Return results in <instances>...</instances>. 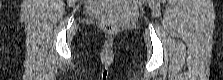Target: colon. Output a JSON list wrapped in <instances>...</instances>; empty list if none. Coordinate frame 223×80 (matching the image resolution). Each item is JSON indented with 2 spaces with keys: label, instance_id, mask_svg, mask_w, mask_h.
<instances>
[{
  "label": "colon",
  "instance_id": "1",
  "mask_svg": "<svg viewBox=\"0 0 223 80\" xmlns=\"http://www.w3.org/2000/svg\"><path fill=\"white\" fill-rule=\"evenodd\" d=\"M102 26L108 32H114L116 30V26L112 23H103Z\"/></svg>",
  "mask_w": 223,
  "mask_h": 80
}]
</instances>
